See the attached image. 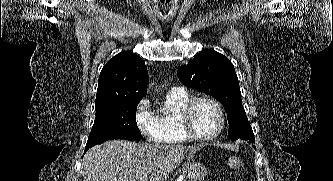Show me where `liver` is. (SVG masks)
<instances>
[{
  "label": "liver",
  "instance_id": "1",
  "mask_svg": "<svg viewBox=\"0 0 333 181\" xmlns=\"http://www.w3.org/2000/svg\"><path fill=\"white\" fill-rule=\"evenodd\" d=\"M201 148L109 140L84 155L83 181H167L187 153Z\"/></svg>",
  "mask_w": 333,
  "mask_h": 181
}]
</instances>
